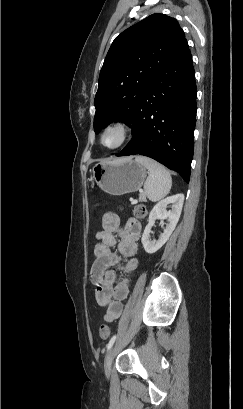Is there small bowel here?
Returning a JSON list of instances; mask_svg holds the SVG:
<instances>
[{
  "instance_id": "small-bowel-1",
  "label": "small bowel",
  "mask_w": 243,
  "mask_h": 409,
  "mask_svg": "<svg viewBox=\"0 0 243 409\" xmlns=\"http://www.w3.org/2000/svg\"><path fill=\"white\" fill-rule=\"evenodd\" d=\"M141 230V223L135 218H130L122 227L115 212L107 211L102 215V229L96 235L98 241L94 246L95 260L90 268V278L95 286L96 301L105 309L104 320L109 323L119 318L123 311L122 302L129 294L127 276L138 265L136 253ZM116 235L120 237L119 253L126 257L124 263L111 249L117 243ZM120 264L125 277L116 282L113 268Z\"/></svg>"
}]
</instances>
